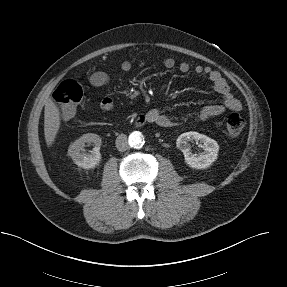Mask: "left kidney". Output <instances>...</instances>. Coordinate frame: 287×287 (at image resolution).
<instances>
[{"label":"left kidney","instance_id":"obj_1","mask_svg":"<svg viewBox=\"0 0 287 287\" xmlns=\"http://www.w3.org/2000/svg\"><path fill=\"white\" fill-rule=\"evenodd\" d=\"M199 142L204 151L199 154H192L190 151L189 141ZM177 147L180 149L185 157V162L191 168L205 169L208 168L214 161H216L219 151L217 142L206 135L198 132H186L181 134L177 139Z\"/></svg>","mask_w":287,"mask_h":287}]
</instances>
